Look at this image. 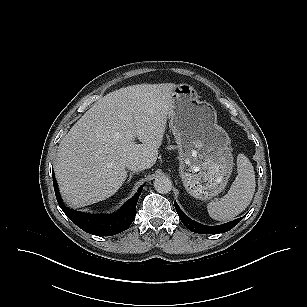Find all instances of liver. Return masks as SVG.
<instances>
[{
	"mask_svg": "<svg viewBox=\"0 0 307 307\" xmlns=\"http://www.w3.org/2000/svg\"><path fill=\"white\" fill-rule=\"evenodd\" d=\"M177 85L138 84L95 103L69 130L57 150L55 177L64 201L83 207L114 195L127 177L129 160L157 161L172 92ZM135 137L141 144L134 142Z\"/></svg>",
	"mask_w": 307,
	"mask_h": 307,
	"instance_id": "obj_1",
	"label": "liver"
}]
</instances>
